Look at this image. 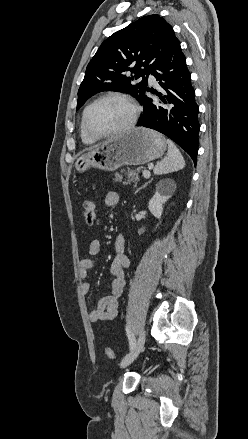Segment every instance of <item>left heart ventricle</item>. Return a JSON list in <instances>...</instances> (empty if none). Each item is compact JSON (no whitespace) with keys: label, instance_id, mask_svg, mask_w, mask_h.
<instances>
[{"label":"left heart ventricle","instance_id":"1","mask_svg":"<svg viewBox=\"0 0 248 439\" xmlns=\"http://www.w3.org/2000/svg\"><path fill=\"white\" fill-rule=\"evenodd\" d=\"M131 113L130 107L120 100H102L90 109L88 126L98 133L110 132L123 127Z\"/></svg>","mask_w":248,"mask_h":439}]
</instances>
